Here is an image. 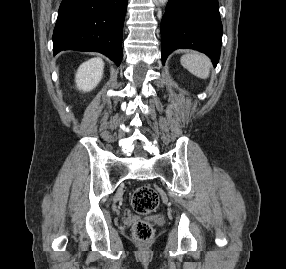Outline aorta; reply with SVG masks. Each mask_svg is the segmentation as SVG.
<instances>
[{
    "mask_svg": "<svg viewBox=\"0 0 286 269\" xmlns=\"http://www.w3.org/2000/svg\"><path fill=\"white\" fill-rule=\"evenodd\" d=\"M168 0H159L160 4L164 5Z\"/></svg>",
    "mask_w": 286,
    "mask_h": 269,
    "instance_id": "obj_1",
    "label": "aorta"
}]
</instances>
